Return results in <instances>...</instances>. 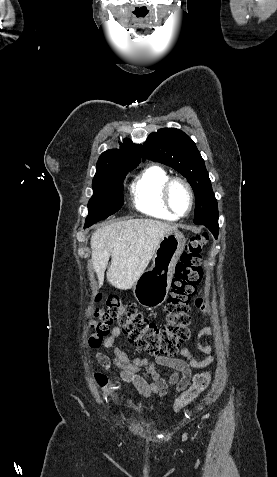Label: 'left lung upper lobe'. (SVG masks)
Wrapping results in <instances>:
<instances>
[{
  "mask_svg": "<svg viewBox=\"0 0 277 477\" xmlns=\"http://www.w3.org/2000/svg\"><path fill=\"white\" fill-rule=\"evenodd\" d=\"M166 164L187 178L193 188L196 224L218 220L217 200L195 143L183 131L163 128L151 133L143 144V159Z\"/></svg>",
  "mask_w": 277,
  "mask_h": 477,
  "instance_id": "left-lung-upper-lobe-1",
  "label": "left lung upper lobe"
}]
</instances>
